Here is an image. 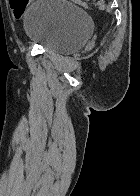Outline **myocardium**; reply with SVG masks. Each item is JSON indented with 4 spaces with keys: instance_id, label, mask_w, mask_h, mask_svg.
Masks as SVG:
<instances>
[{
    "instance_id": "f54148a6",
    "label": "myocardium",
    "mask_w": 140,
    "mask_h": 196,
    "mask_svg": "<svg viewBox=\"0 0 140 196\" xmlns=\"http://www.w3.org/2000/svg\"><path fill=\"white\" fill-rule=\"evenodd\" d=\"M35 192H47V191H35ZM52 192H67V191H52Z\"/></svg>"
}]
</instances>
